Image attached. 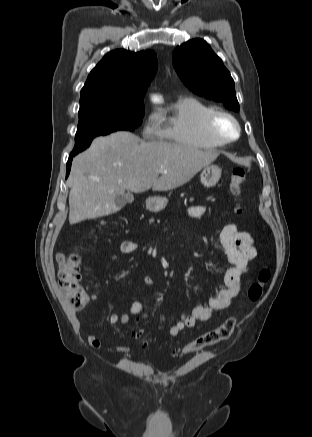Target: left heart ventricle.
Segmentation results:
<instances>
[{"label": "left heart ventricle", "instance_id": "1", "mask_svg": "<svg viewBox=\"0 0 312 437\" xmlns=\"http://www.w3.org/2000/svg\"><path fill=\"white\" fill-rule=\"evenodd\" d=\"M217 130L225 136H233L235 134L234 124L227 118L221 117L216 121Z\"/></svg>", "mask_w": 312, "mask_h": 437}]
</instances>
